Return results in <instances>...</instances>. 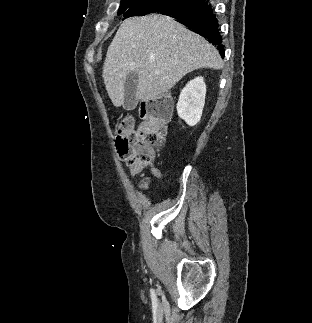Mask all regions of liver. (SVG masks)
I'll return each mask as SVG.
<instances>
[{
    "label": "liver",
    "instance_id": "1",
    "mask_svg": "<svg viewBox=\"0 0 312 323\" xmlns=\"http://www.w3.org/2000/svg\"><path fill=\"white\" fill-rule=\"evenodd\" d=\"M198 68L222 70L218 50L175 18L150 14L122 22L107 50L102 78L112 104L120 108L130 72L138 76L137 102H149Z\"/></svg>",
    "mask_w": 312,
    "mask_h": 323
}]
</instances>
